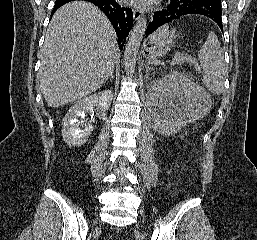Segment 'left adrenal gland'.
<instances>
[{
  "label": "left adrenal gland",
  "mask_w": 257,
  "mask_h": 240,
  "mask_svg": "<svg viewBox=\"0 0 257 240\" xmlns=\"http://www.w3.org/2000/svg\"><path fill=\"white\" fill-rule=\"evenodd\" d=\"M145 69H146V74H148V72L151 70V68L147 64L145 65Z\"/></svg>",
  "instance_id": "a2214340"
}]
</instances>
